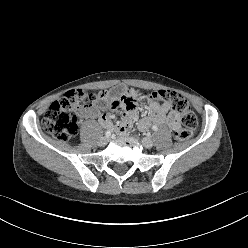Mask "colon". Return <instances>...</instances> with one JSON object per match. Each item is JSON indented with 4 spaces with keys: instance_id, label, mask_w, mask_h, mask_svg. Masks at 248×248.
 I'll use <instances>...</instances> for the list:
<instances>
[{
    "instance_id": "5ec220e1",
    "label": "colon",
    "mask_w": 248,
    "mask_h": 248,
    "mask_svg": "<svg viewBox=\"0 0 248 248\" xmlns=\"http://www.w3.org/2000/svg\"><path fill=\"white\" fill-rule=\"evenodd\" d=\"M106 95L105 91L98 93L82 89L67 91L58 101L53 102L45 113L42 120L44 130L57 140L69 141L77 134L79 112ZM138 98L148 102H165L181 114L183 127L175 132L176 139L187 140L195 132L198 124L197 116L190 109L187 100L177 92L160 90L152 93H139Z\"/></svg>"
}]
</instances>
